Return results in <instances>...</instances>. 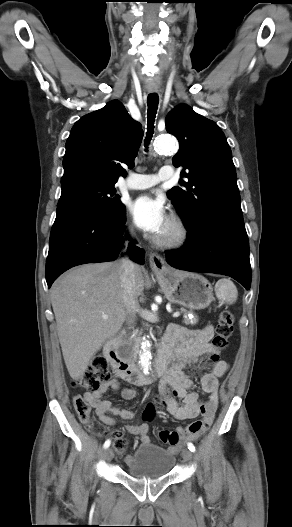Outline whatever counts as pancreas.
<instances>
[{
	"label": "pancreas",
	"mask_w": 292,
	"mask_h": 527,
	"mask_svg": "<svg viewBox=\"0 0 292 527\" xmlns=\"http://www.w3.org/2000/svg\"><path fill=\"white\" fill-rule=\"evenodd\" d=\"M180 311L181 313H183V323H185L186 325H190V324L194 325L198 322V318L196 315H194L193 318H189V315L193 314L191 311H187L184 308H181ZM139 340H140V337H135L132 341L137 342Z\"/></svg>",
	"instance_id": "1"
}]
</instances>
